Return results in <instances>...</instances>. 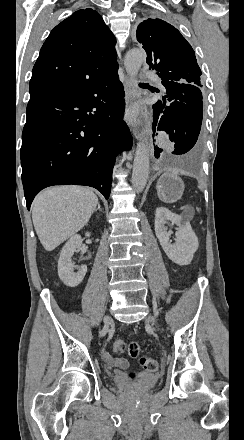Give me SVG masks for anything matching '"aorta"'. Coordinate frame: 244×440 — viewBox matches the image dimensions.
<instances>
[{"mask_svg":"<svg viewBox=\"0 0 244 440\" xmlns=\"http://www.w3.org/2000/svg\"><path fill=\"white\" fill-rule=\"evenodd\" d=\"M146 60V53L142 49H132L125 56V69L131 79L135 80L138 71ZM149 147L140 141L137 143L132 172V185L136 192H141L146 186L149 175Z\"/></svg>","mask_w":244,"mask_h":440,"instance_id":"1","label":"aorta"}]
</instances>
